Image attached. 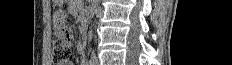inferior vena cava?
Segmentation results:
<instances>
[{"label": "inferior vena cava", "instance_id": "602c4592", "mask_svg": "<svg viewBox=\"0 0 232 65\" xmlns=\"http://www.w3.org/2000/svg\"><path fill=\"white\" fill-rule=\"evenodd\" d=\"M91 59H93V60L96 59L95 53L93 51H92V54H91Z\"/></svg>", "mask_w": 232, "mask_h": 65}]
</instances>
